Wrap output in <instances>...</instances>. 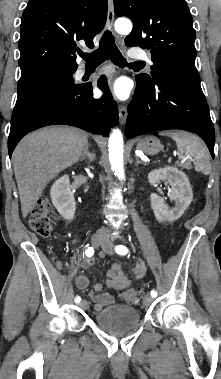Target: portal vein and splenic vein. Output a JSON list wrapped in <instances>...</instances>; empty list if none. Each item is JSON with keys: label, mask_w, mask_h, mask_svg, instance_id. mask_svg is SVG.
Returning a JSON list of instances; mask_svg holds the SVG:
<instances>
[{"label": "portal vein and splenic vein", "mask_w": 221, "mask_h": 379, "mask_svg": "<svg viewBox=\"0 0 221 379\" xmlns=\"http://www.w3.org/2000/svg\"><path fill=\"white\" fill-rule=\"evenodd\" d=\"M179 159H180V160H184L185 157H184V156H179Z\"/></svg>", "instance_id": "portal-vein-and-splenic-vein-1"}]
</instances>
